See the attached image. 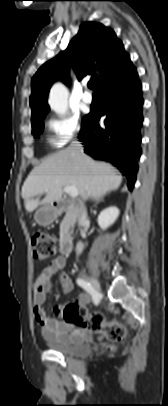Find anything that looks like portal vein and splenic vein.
I'll return each instance as SVG.
<instances>
[{
    "mask_svg": "<svg viewBox=\"0 0 168 406\" xmlns=\"http://www.w3.org/2000/svg\"><path fill=\"white\" fill-rule=\"evenodd\" d=\"M64 192L68 193L71 197L78 196V190L74 186H66L64 187Z\"/></svg>",
    "mask_w": 168,
    "mask_h": 406,
    "instance_id": "18ae733b",
    "label": "portal vein and splenic vein"
}]
</instances>
